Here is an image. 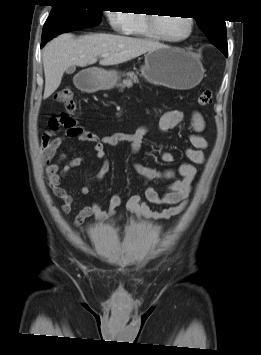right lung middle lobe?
Instances as JSON below:
<instances>
[{"mask_svg":"<svg viewBox=\"0 0 261 355\" xmlns=\"http://www.w3.org/2000/svg\"><path fill=\"white\" fill-rule=\"evenodd\" d=\"M102 10L90 0H65L53 5L44 26L60 22H75L94 27L101 21Z\"/></svg>","mask_w":261,"mask_h":355,"instance_id":"1","label":"right lung middle lobe"}]
</instances>
